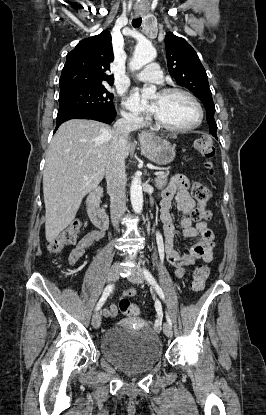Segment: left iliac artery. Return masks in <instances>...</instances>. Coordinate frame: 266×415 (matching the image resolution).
Listing matches in <instances>:
<instances>
[{
	"mask_svg": "<svg viewBox=\"0 0 266 415\" xmlns=\"http://www.w3.org/2000/svg\"><path fill=\"white\" fill-rule=\"evenodd\" d=\"M143 274L145 279L156 289L158 295L160 296L161 299L164 300V293L162 291V289L159 287V285L157 284L156 280L154 279V277L152 276V274L147 270V269H143ZM158 308V307H157ZM166 318H167V322L172 325L171 319L168 315V313H166Z\"/></svg>",
	"mask_w": 266,
	"mask_h": 415,
	"instance_id": "44dca946",
	"label": "left iliac artery"
}]
</instances>
